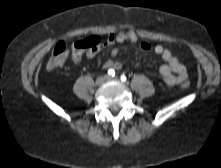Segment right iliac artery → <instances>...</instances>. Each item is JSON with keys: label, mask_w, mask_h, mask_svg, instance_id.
<instances>
[{"label": "right iliac artery", "mask_w": 221, "mask_h": 168, "mask_svg": "<svg viewBox=\"0 0 221 168\" xmlns=\"http://www.w3.org/2000/svg\"><path fill=\"white\" fill-rule=\"evenodd\" d=\"M108 75L111 76V77H114L115 76V70L114 69H109L108 70Z\"/></svg>", "instance_id": "right-iliac-artery-1"}]
</instances>
